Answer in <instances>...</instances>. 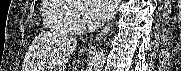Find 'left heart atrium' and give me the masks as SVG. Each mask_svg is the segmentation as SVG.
<instances>
[{"label":"left heart atrium","mask_w":181,"mask_h":71,"mask_svg":"<svg viewBox=\"0 0 181 71\" xmlns=\"http://www.w3.org/2000/svg\"><path fill=\"white\" fill-rule=\"evenodd\" d=\"M88 6L96 20L109 19L116 10L117 1L114 0H89Z\"/></svg>","instance_id":"1"}]
</instances>
